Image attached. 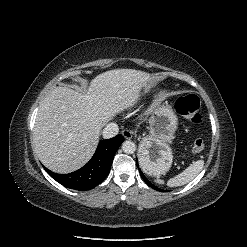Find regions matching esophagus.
<instances>
[{"mask_svg": "<svg viewBox=\"0 0 247 247\" xmlns=\"http://www.w3.org/2000/svg\"><path fill=\"white\" fill-rule=\"evenodd\" d=\"M121 134L125 139H131L133 137V132L128 129L122 130Z\"/></svg>", "mask_w": 247, "mask_h": 247, "instance_id": "esophagus-1", "label": "esophagus"}]
</instances>
